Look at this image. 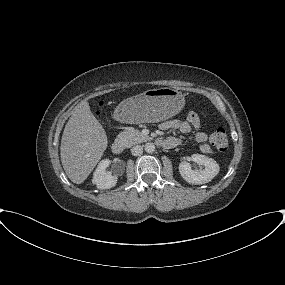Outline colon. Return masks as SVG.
I'll list each match as a JSON object with an SVG mask.
<instances>
[{
    "instance_id": "1",
    "label": "colon",
    "mask_w": 285,
    "mask_h": 285,
    "mask_svg": "<svg viewBox=\"0 0 285 285\" xmlns=\"http://www.w3.org/2000/svg\"><path fill=\"white\" fill-rule=\"evenodd\" d=\"M210 142L219 151H225L228 147V138L225 128L223 127L216 128L211 133ZM200 149L204 153H208L211 150L209 145H202Z\"/></svg>"
}]
</instances>
